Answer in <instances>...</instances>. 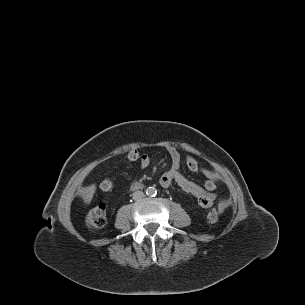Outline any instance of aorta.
Listing matches in <instances>:
<instances>
[{
	"label": "aorta",
	"instance_id": "obj_1",
	"mask_svg": "<svg viewBox=\"0 0 305 305\" xmlns=\"http://www.w3.org/2000/svg\"><path fill=\"white\" fill-rule=\"evenodd\" d=\"M156 189L154 188V187H148L147 189H146V194L148 195V196H154V195H156Z\"/></svg>",
	"mask_w": 305,
	"mask_h": 305
}]
</instances>
